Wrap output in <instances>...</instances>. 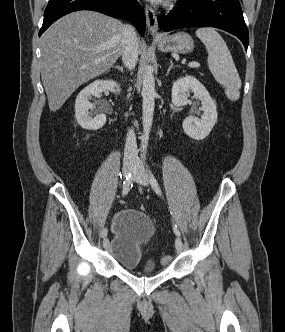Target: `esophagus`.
I'll return each mask as SVG.
<instances>
[{
    "label": "esophagus",
    "mask_w": 285,
    "mask_h": 332,
    "mask_svg": "<svg viewBox=\"0 0 285 332\" xmlns=\"http://www.w3.org/2000/svg\"><path fill=\"white\" fill-rule=\"evenodd\" d=\"M145 15H146L148 31L153 37L159 36L157 15L155 10L151 8L149 5H146Z\"/></svg>",
    "instance_id": "esophagus-1"
}]
</instances>
